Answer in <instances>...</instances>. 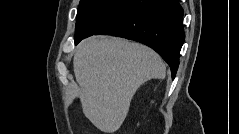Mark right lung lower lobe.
I'll list each match as a JSON object with an SVG mask.
<instances>
[{
  "mask_svg": "<svg viewBox=\"0 0 239 134\" xmlns=\"http://www.w3.org/2000/svg\"><path fill=\"white\" fill-rule=\"evenodd\" d=\"M178 0H121L106 12L75 45L91 35L107 34L141 42L161 55L174 79L185 34Z\"/></svg>",
  "mask_w": 239,
  "mask_h": 134,
  "instance_id": "1",
  "label": "right lung lower lobe"
}]
</instances>
